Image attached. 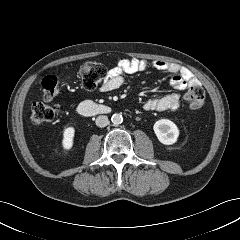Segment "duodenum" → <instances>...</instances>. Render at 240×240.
<instances>
[{"mask_svg":"<svg viewBox=\"0 0 240 240\" xmlns=\"http://www.w3.org/2000/svg\"><path fill=\"white\" fill-rule=\"evenodd\" d=\"M110 109L107 106L100 105L92 100H86L79 104L78 113L84 116L100 113H108Z\"/></svg>","mask_w":240,"mask_h":240,"instance_id":"410a0bca","label":"duodenum"}]
</instances>
